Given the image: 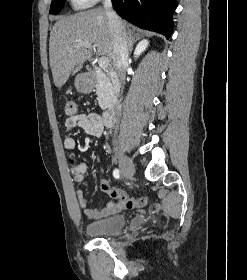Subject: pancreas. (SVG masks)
<instances>
[{
    "label": "pancreas",
    "instance_id": "obj_1",
    "mask_svg": "<svg viewBox=\"0 0 247 280\" xmlns=\"http://www.w3.org/2000/svg\"><path fill=\"white\" fill-rule=\"evenodd\" d=\"M96 94L99 106L108 108L116 95L115 82L112 77L99 70L96 73Z\"/></svg>",
    "mask_w": 247,
    "mask_h": 280
}]
</instances>
